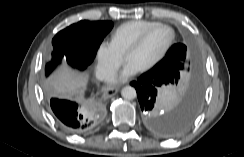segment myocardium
Segmentation results:
<instances>
[{
  "instance_id": "obj_1",
  "label": "myocardium",
  "mask_w": 244,
  "mask_h": 157,
  "mask_svg": "<svg viewBox=\"0 0 244 157\" xmlns=\"http://www.w3.org/2000/svg\"><path fill=\"white\" fill-rule=\"evenodd\" d=\"M157 28H167L170 30L171 32V37L169 42L167 43V45L165 46V48L163 49V51L149 64H147L146 66L142 67L139 71L141 72H147L151 69H153L154 67H156L167 55V53L169 52V50L171 49V47L173 46L174 42H175V38H176V33L175 30L172 26L165 24V23H157L149 28H147L146 30H144L142 33H140V35L127 47V49L125 50L123 56L124 59H127V56L132 53L133 51L137 50L142 43L144 42V40L146 39V37L155 29Z\"/></svg>"
}]
</instances>
